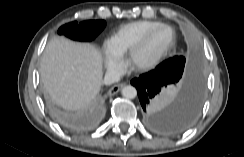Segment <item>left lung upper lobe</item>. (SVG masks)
I'll list each match as a JSON object with an SVG mask.
<instances>
[{
  "label": "left lung upper lobe",
  "instance_id": "obj_1",
  "mask_svg": "<svg viewBox=\"0 0 244 157\" xmlns=\"http://www.w3.org/2000/svg\"><path fill=\"white\" fill-rule=\"evenodd\" d=\"M185 65V58L183 56H174L172 58H169L168 60H165L160 65H158L156 68L169 71L173 68L180 69L181 65Z\"/></svg>",
  "mask_w": 244,
  "mask_h": 157
}]
</instances>
